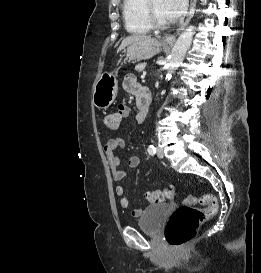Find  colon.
<instances>
[{"label":"colon","instance_id":"5ec220e1","mask_svg":"<svg viewBox=\"0 0 261 273\" xmlns=\"http://www.w3.org/2000/svg\"><path fill=\"white\" fill-rule=\"evenodd\" d=\"M123 112L107 114L104 124L110 130L119 127ZM174 196V188L150 190L146 192V198L151 203H161ZM206 206L205 209L195 208L194 205ZM218 212V202L214 195L204 194L201 196L188 195L182 206L177 208L170 216L165 227V238L168 244L182 250L196 235L199 226L207 219L215 216Z\"/></svg>","mask_w":261,"mask_h":273}]
</instances>
